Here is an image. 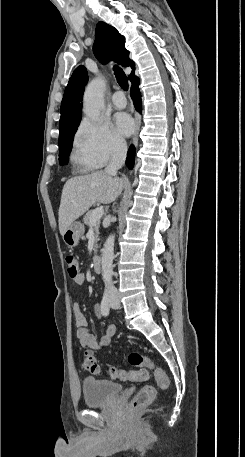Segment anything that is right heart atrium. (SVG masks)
Segmentation results:
<instances>
[{
	"instance_id": "1",
	"label": "right heart atrium",
	"mask_w": 245,
	"mask_h": 457,
	"mask_svg": "<svg viewBox=\"0 0 245 457\" xmlns=\"http://www.w3.org/2000/svg\"><path fill=\"white\" fill-rule=\"evenodd\" d=\"M77 139L99 165L120 155L125 149V141L105 120L84 118L79 126Z\"/></svg>"
}]
</instances>
